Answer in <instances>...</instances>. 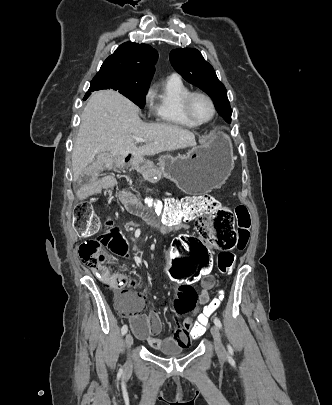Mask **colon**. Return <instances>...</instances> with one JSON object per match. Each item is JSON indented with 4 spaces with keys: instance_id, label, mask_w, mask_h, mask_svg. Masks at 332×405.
Masks as SVG:
<instances>
[{
    "instance_id": "colon-1",
    "label": "colon",
    "mask_w": 332,
    "mask_h": 405,
    "mask_svg": "<svg viewBox=\"0 0 332 405\" xmlns=\"http://www.w3.org/2000/svg\"><path fill=\"white\" fill-rule=\"evenodd\" d=\"M146 206L166 221L184 220L202 211H208V220H199L195 234L182 233L174 242L175 256H166L169 266L165 269L171 282L179 283L180 287H194L196 281H206L211 274V259L215 257V249L221 252L217 257L218 270L223 275L231 273L235 253L233 249L243 250L250 239L251 218L245 206L219 207L218 202L208 195H193L182 198L168 197L164 200L148 199ZM218 208L217 211H213ZM236 220V227L234 222ZM109 221H103L97 215L94 206L82 200L74 208V226L79 234L87 240L79 246V257L83 263L103 273L108 285L117 291V301L130 302L133 296L122 289L117 276L108 270V257L100 238L104 237L103 229ZM109 256H126L127 248L118 235L107 241ZM195 297V295H194ZM219 301L212 307H203L198 311L196 322L189 334L190 342H201L203 331L207 329L210 316H214Z\"/></svg>"
}]
</instances>
